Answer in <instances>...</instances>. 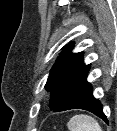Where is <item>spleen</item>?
I'll list each match as a JSON object with an SVG mask.
<instances>
[{"mask_svg":"<svg viewBox=\"0 0 117 131\" xmlns=\"http://www.w3.org/2000/svg\"><path fill=\"white\" fill-rule=\"evenodd\" d=\"M67 126L69 131H102L99 123L93 117L85 114L73 116Z\"/></svg>","mask_w":117,"mask_h":131,"instance_id":"obj_1","label":"spleen"}]
</instances>
